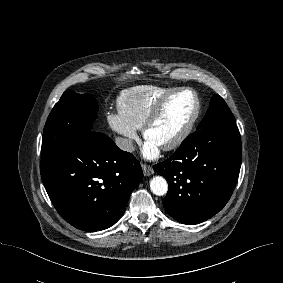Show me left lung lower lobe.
Returning a JSON list of instances; mask_svg holds the SVG:
<instances>
[{
    "label": "left lung lower lobe",
    "mask_w": 283,
    "mask_h": 283,
    "mask_svg": "<svg viewBox=\"0 0 283 283\" xmlns=\"http://www.w3.org/2000/svg\"><path fill=\"white\" fill-rule=\"evenodd\" d=\"M242 147L236 124L212 126L188 136L154 170L166 178V212L184 224L201 223L228 202L240 172Z\"/></svg>",
    "instance_id": "1"
}]
</instances>
